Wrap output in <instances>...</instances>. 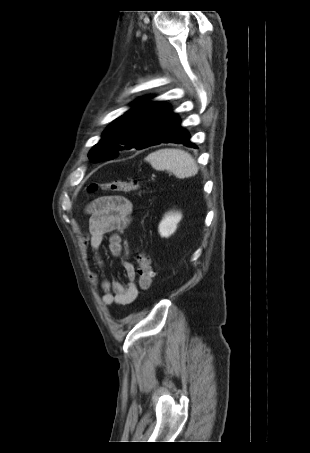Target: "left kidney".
<instances>
[{"label":"left kidney","mask_w":310,"mask_h":453,"mask_svg":"<svg viewBox=\"0 0 310 453\" xmlns=\"http://www.w3.org/2000/svg\"><path fill=\"white\" fill-rule=\"evenodd\" d=\"M181 219L182 214L178 211L165 214L158 227L161 237L168 238L171 236L176 231L177 225Z\"/></svg>","instance_id":"5707ae66"}]
</instances>
